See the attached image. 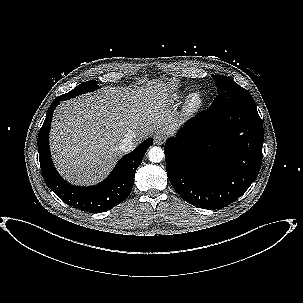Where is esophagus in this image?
<instances>
[{"label": "esophagus", "mask_w": 303, "mask_h": 303, "mask_svg": "<svg viewBox=\"0 0 303 303\" xmlns=\"http://www.w3.org/2000/svg\"><path fill=\"white\" fill-rule=\"evenodd\" d=\"M164 141H165V137L161 134L154 137V143L157 145L163 144Z\"/></svg>", "instance_id": "1"}]
</instances>
